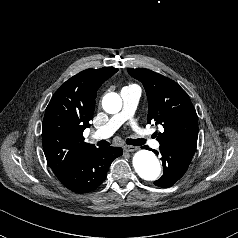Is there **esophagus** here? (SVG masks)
I'll use <instances>...</instances> for the list:
<instances>
[{
	"label": "esophagus",
	"instance_id": "obj_1",
	"mask_svg": "<svg viewBox=\"0 0 238 238\" xmlns=\"http://www.w3.org/2000/svg\"><path fill=\"white\" fill-rule=\"evenodd\" d=\"M123 148L126 152H134L138 149V147L132 145H125Z\"/></svg>",
	"mask_w": 238,
	"mask_h": 238
}]
</instances>
